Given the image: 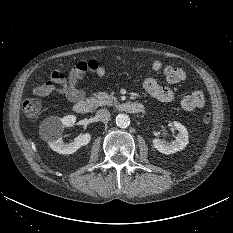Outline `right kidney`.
I'll use <instances>...</instances> for the list:
<instances>
[{"instance_id": "ca27d5eb", "label": "right kidney", "mask_w": 233, "mask_h": 233, "mask_svg": "<svg viewBox=\"0 0 233 233\" xmlns=\"http://www.w3.org/2000/svg\"><path fill=\"white\" fill-rule=\"evenodd\" d=\"M75 122L76 117L74 115L63 118L51 116L43 121L41 124L43 137L52 150L59 154H72L90 142L91 135L89 133L80 135L71 143L63 142L62 133L64 128L72 126Z\"/></svg>"}]
</instances>
